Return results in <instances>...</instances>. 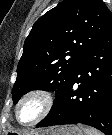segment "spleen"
I'll use <instances>...</instances> for the list:
<instances>
[{
	"label": "spleen",
	"mask_w": 112,
	"mask_h": 135,
	"mask_svg": "<svg viewBox=\"0 0 112 135\" xmlns=\"http://www.w3.org/2000/svg\"><path fill=\"white\" fill-rule=\"evenodd\" d=\"M84 135H103L98 130L93 128H85Z\"/></svg>",
	"instance_id": "spleen-1"
}]
</instances>
